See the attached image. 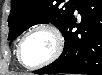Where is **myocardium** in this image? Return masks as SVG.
Listing matches in <instances>:
<instances>
[{
    "mask_svg": "<svg viewBox=\"0 0 102 75\" xmlns=\"http://www.w3.org/2000/svg\"><path fill=\"white\" fill-rule=\"evenodd\" d=\"M38 30H46V31L50 32V33L53 35V37H54V39H55V50H54V52L52 53V55H51L50 57H48L46 60L42 61L41 63H39V64H37V65L31 66V65L26 64V63L23 61V58H22V46H23V43H24L25 39H26L30 34H32V33L35 32V31H38ZM64 44H65L64 37H63L61 31H60L56 26H54V25H52V24H49V23L38 24V25H35V26H33L32 28H30V29L21 37V39L19 40V43H18V46H17V57H18V60H19L23 65H25L26 67H29V68L41 67V66L50 64V63H52L53 61H55V60L60 56V54L62 53L63 48H64Z\"/></svg>",
    "mask_w": 102,
    "mask_h": 75,
    "instance_id": "myocardium-1",
    "label": "myocardium"
}]
</instances>
